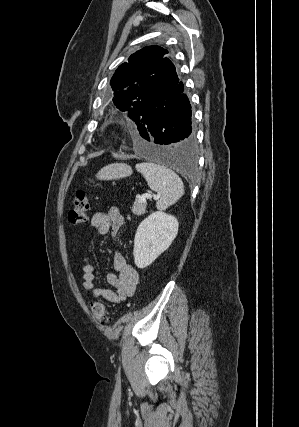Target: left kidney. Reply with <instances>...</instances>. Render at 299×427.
<instances>
[{
	"label": "left kidney",
	"instance_id": "obj_1",
	"mask_svg": "<svg viewBox=\"0 0 299 427\" xmlns=\"http://www.w3.org/2000/svg\"><path fill=\"white\" fill-rule=\"evenodd\" d=\"M178 220L162 211L150 214L138 226L134 239V262L138 268L152 264L171 245L178 233Z\"/></svg>",
	"mask_w": 299,
	"mask_h": 427
}]
</instances>
